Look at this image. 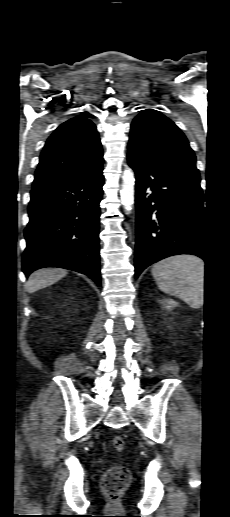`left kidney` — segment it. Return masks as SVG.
<instances>
[{"instance_id":"left-kidney-1","label":"left kidney","mask_w":230,"mask_h":517,"mask_svg":"<svg viewBox=\"0 0 230 517\" xmlns=\"http://www.w3.org/2000/svg\"><path fill=\"white\" fill-rule=\"evenodd\" d=\"M176 306H177L176 301H174L172 299H166V301H165V308L166 309L171 310L172 308H174Z\"/></svg>"}]
</instances>
